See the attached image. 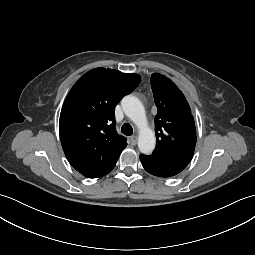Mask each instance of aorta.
I'll use <instances>...</instances> for the list:
<instances>
[{
  "instance_id": "1",
  "label": "aorta",
  "mask_w": 255,
  "mask_h": 255,
  "mask_svg": "<svg viewBox=\"0 0 255 255\" xmlns=\"http://www.w3.org/2000/svg\"><path fill=\"white\" fill-rule=\"evenodd\" d=\"M121 105L124 113L139 128L138 147L140 152L143 154H151L155 148L156 139L153 131L147 126L144 106L140 100L133 95L125 96L121 101Z\"/></svg>"
}]
</instances>
